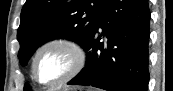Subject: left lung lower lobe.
Returning <instances> with one entry per match:
<instances>
[{
    "mask_svg": "<svg viewBox=\"0 0 173 91\" xmlns=\"http://www.w3.org/2000/svg\"><path fill=\"white\" fill-rule=\"evenodd\" d=\"M150 16L148 0H107L85 47V68L68 84L147 91Z\"/></svg>",
    "mask_w": 173,
    "mask_h": 91,
    "instance_id": "left-lung-lower-lobe-1",
    "label": "left lung lower lobe"
}]
</instances>
